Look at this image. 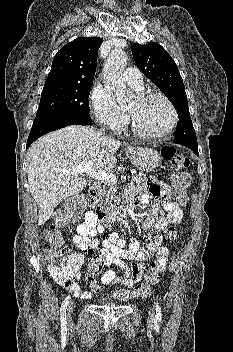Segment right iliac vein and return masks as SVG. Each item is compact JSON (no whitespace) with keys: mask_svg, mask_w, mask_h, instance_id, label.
<instances>
[{"mask_svg":"<svg viewBox=\"0 0 233 352\" xmlns=\"http://www.w3.org/2000/svg\"><path fill=\"white\" fill-rule=\"evenodd\" d=\"M73 310H74V302L71 301L67 307V320L69 323L71 322V314H72Z\"/></svg>","mask_w":233,"mask_h":352,"instance_id":"63e3f726","label":"right iliac vein"}]
</instances>
